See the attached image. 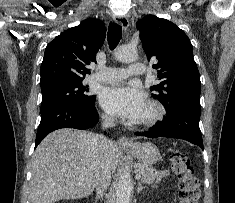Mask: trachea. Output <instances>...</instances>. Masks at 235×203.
Listing matches in <instances>:
<instances>
[{
    "mask_svg": "<svg viewBox=\"0 0 235 203\" xmlns=\"http://www.w3.org/2000/svg\"><path fill=\"white\" fill-rule=\"evenodd\" d=\"M121 37H122L121 26L116 23H110L108 27L107 40H108L109 48L111 50L115 49V47L120 42Z\"/></svg>",
    "mask_w": 235,
    "mask_h": 203,
    "instance_id": "3493384b",
    "label": "trachea"
}]
</instances>
